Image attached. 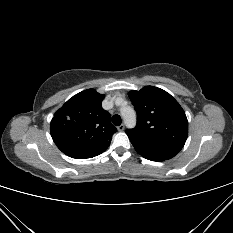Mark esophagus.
I'll return each mask as SVG.
<instances>
[{
    "label": "esophagus",
    "instance_id": "obj_1",
    "mask_svg": "<svg viewBox=\"0 0 233 233\" xmlns=\"http://www.w3.org/2000/svg\"><path fill=\"white\" fill-rule=\"evenodd\" d=\"M117 129H118V131H124V129H125V126H124V124H121V125H119L118 127H117Z\"/></svg>",
    "mask_w": 233,
    "mask_h": 233
}]
</instances>
